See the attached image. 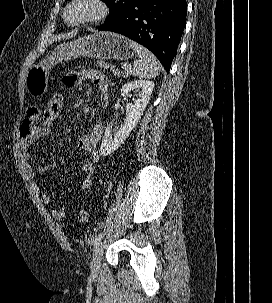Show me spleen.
Instances as JSON below:
<instances>
[{
	"label": "spleen",
	"instance_id": "3e777b00",
	"mask_svg": "<svg viewBox=\"0 0 272 303\" xmlns=\"http://www.w3.org/2000/svg\"><path fill=\"white\" fill-rule=\"evenodd\" d=\"M131 46L139 56L133 69V75L144 79L156 77L161 71V64L155 55L134 41H131Z\"/></svg>",
	"mask_w": 272,
	"mask_h": 303
}]
</instances>
